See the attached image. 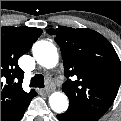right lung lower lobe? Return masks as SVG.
<instances>
[{
	"label": "right lung lower lobe",
	"instance_id": "1",
	"mask_svg": "<svg viewBox=\"0 0 121 121\" xmlns=\"http://www.w3.org/2000/svg\"><path fill=\"white\" fill-rule=\"evenodd\" d=\"M31 100L32 99L27 101L16 113H14L12 116H10L6 121H19L22 118V116L24 115V112Z\"/></svg>",
	"mask_w": 121,
	"mask_h": 121
}]
</instances>
